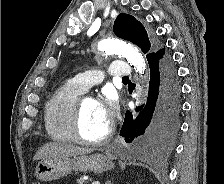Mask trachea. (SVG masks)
I'll return each mask as SVG.
<instances>
[{
	"label": "trachea",
	"instance_id": "obj_1",
	"mask_svg": "<svg viewBox=\"0 0 224 184\" xmlns=\"http://www.w3.org/2000/svg\"><path fill=\"white\" fill-rule=\"evenodd\" d=\"M122 81H129V77L122 78Z\"/></svg>",
	"mask_w": 224,
	"mask_h": 184
}]
</instances>
